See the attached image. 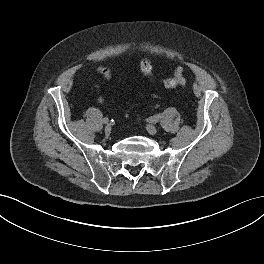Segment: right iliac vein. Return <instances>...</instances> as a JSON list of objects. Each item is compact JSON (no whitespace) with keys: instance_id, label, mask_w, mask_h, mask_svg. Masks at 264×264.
<instances>
[{"instance_id":"63e3f726","label":"right iliac vein","mask_w":264,"mask_h":264,"mask_svg":"<svg viewBox=\"0 0 264 264\" xmlns=\"http://www.w3.org/2000/svg\"><path fill=\"white\" fill-rule=\"evenodd\" d=\"M110 132H111V126H110V125H107V126L105 127V133H106V135H109Z\"/></svg>"}]
</instances>
